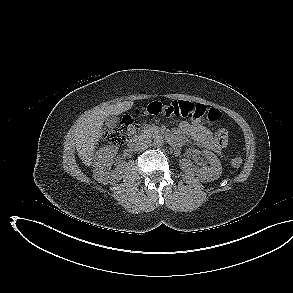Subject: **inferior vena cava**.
<instances>
[{"label":"inferior vena cava","mask_w":293,"mask_h":293,"mask_svg":"<svg viewBox=\"0 0 293 293\" xmlns=\"http://www.w3.org/2000/svg\"><path fill=\"white\" fill-rule=\"evenodd\" d=\"M149 146H151L150 139L139 138L134 146V149L136 151H142V150L147 149Z\"/></svg>","instance_id":"1"}]
</instances>
